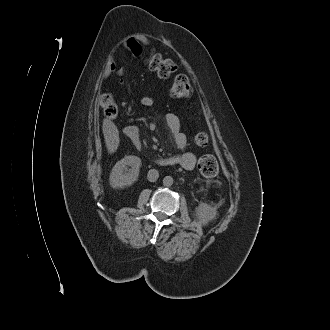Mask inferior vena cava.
Masks as SVG:
<instances>
[{
    "mask_svg": "<svg viewBox=\"0 0 330 330\" xmlns=\"http://www.w3.org/2000/svg\"><path fill=\"white\" fill-rule=\"evenodd\" d=\"M159 178V172L156 169L149 170L147 174V179L150 182H155Z\"/></svg>",
    "mask_w": 330,
    "mask_h": 330,
    "instance_id": "inferior-vena-cava-1",
    "label": "inferior vena cava"
}]
</instances>
